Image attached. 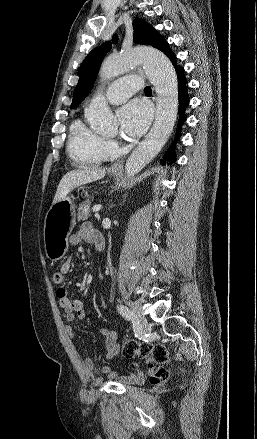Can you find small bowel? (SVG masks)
I'll return each instance as SVG.
<instances>
[{
    "label": "small bowel",
    "mask_w": 257,
    "mask_h": 439,
    "mask_svg": "<svg viewBox=\"0 0 257 439\" xmlns=\"http://www.w3.org/2000/svg\"><path fill=\"white\" fill-rule=\"evenodd\" d=\"M101 236L99 233L89 224H83L75 233L70 236V243L72 245H78L82 241H86L92 245H95L97 240ZM102 238V237H101ZM72 270V264L70 261L64 262L60 267V273L64 276L70 273ZM59 305L65 311L66 319L70 322L75 320H81L86 316L84 304L81 300L70 299L68 292L65 288L60 287L56 291ZM101 306L105 307V302L102 300ZM68 336L75 337V332L72 327L67 328ZM100 333L105 338V351L108 359H113L120 351L119 334L116 331L101 328ZM83 369L86 374H90L94 369L93 361L89 357H85L83 360ZM102 372L107 376L109 380L116 381L122 384H138L144 381V375L140 370L138 364L133 363V372L131 374H121L111 367H103Z\"/></svg>",
    "instance_id": "c3829d8e"
}]
</instances>
